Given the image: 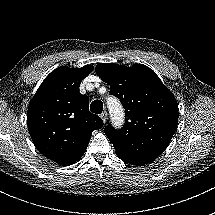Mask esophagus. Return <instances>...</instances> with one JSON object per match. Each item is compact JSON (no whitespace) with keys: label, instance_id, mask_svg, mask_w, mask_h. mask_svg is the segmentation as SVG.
<instances>
[{"label":"esophagus","instance_id":"1","mask_svg":"<svg viewBox=\"0 0 215 215\" xmlns=\"http://www.w3.org/2000/svg\"><path fill=\"white\" fill-rule=\"evenodd\" d=\"M101 119L103 120V122L105 123L107 120V112L103 111L100 115Z\"/></svg>","mask_w":215,"mask_h":215}]
</instances>
